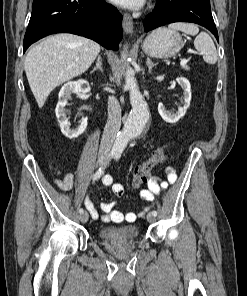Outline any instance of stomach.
<instances>
[{"label":"stomach","mask_w":247,"mask_h":296,"mask_svg":"<svg viewBox=\"0 0 247 296\" xmlns=\"http://www.w3.org/2000/svg\"><path fill=\"white\" fill-rule=\"evenodd\" d=\"M183 47L180 34L167 28H158L149 34L142 44L144 53L156 58L175 56Z\"/></svg>","instance_id":"stomach-1"}]
</instances>
